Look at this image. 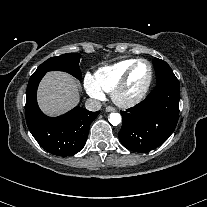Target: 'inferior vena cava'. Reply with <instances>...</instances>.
<instances>
[{
  "label": "inferior vena cava",
  "mask_w": 207,
  "mask_h": 207,
  "mask_svg": "<svg viewBox=\"0 0 207 207\" xmlns=\"http://www.w3.org/2000/svg\"><path fill=\"white\" fill-rule=\"evenodd\" d=\"M101 102L99 100L96 99H87L85 102V107L87 110L89 111H99L101 109Z\"/></svg>",
  "instance_id": "inferior-vena-cava-1"
}]
</instances>
